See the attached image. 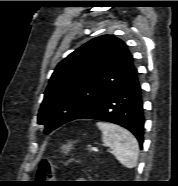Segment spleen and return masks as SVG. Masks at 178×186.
<instances>
[{
	"label": "spleen",
	"mask_w": 178,
	"mask_h": 186,
	"mask_svg": "<svg viewBox=\"0 0 178 186\" xmlns=\"http://www.w3.org/2000/svg\"><path fill=\"white\" fill-rule=\"evenodd\" d=\"M97 127L102 131L104 145L110 147L116 159L128 169L136 167L139 145L132 133L106 122H97Z\"/></svg>",
	"instance_id": "3e777b00"
}]
</instances>
